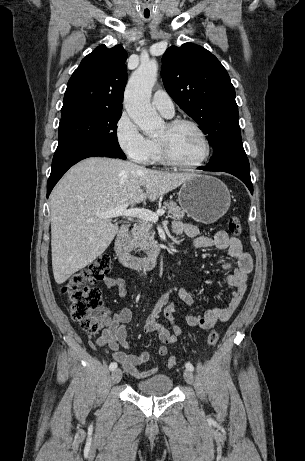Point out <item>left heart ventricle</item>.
<instances>
[{"label":"left heart ventricle","instance_id":"1","mask_svg":"<svg viewBox=\"0 0 305 461\" xmlns=\"http://www.w3.org/2000/svg\"><path fill=\"white\" fill-rule=\"evenodd\" d=\"M159 138L167 139L174 156L184 163L198 161L205 151L200 135L188 125L181 126L174 131H169L166 125Z\"/></svg>","mask_w":305,"mask_h":461}]
</instances>
